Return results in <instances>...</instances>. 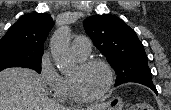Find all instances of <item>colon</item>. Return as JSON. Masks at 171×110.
Returning a JSON list of instances; mask_svg holds the SVG:
<instances>
[{
	"label": "colon",
	"instance_id": "5ec220e1",
	"mask_svg": "<svg viewBox=\"0 0 171 110\" xmlns=\"http://www.w3.org/2000/svg\"><path fill=\"white\" fill-rule=\"evenodd\" d=\"M136 107H137V106H131V107H129V110H137Z\"/></svg>",
	"mask_w": 171,
	"mask_h": 110
}]
</instances>
